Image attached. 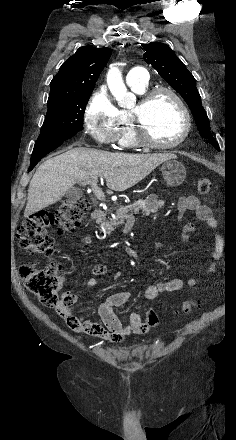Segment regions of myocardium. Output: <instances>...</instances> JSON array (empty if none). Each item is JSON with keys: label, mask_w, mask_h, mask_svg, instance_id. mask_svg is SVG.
Here are the masks:
<instances>
[{"label": "myocardium", "mask_w": 236, "mask_h": 440, "mask_svg": "<svg viewBox=\"0 0 236 440\" xmlns=\"http://www.w3.org/2000/svg\"><path fill=\"white\" fill-rule=\"evenodd\" d=\"M163 94L169 95L176 101L184 118V130L181 136L175 141L165 144L157 143L150 138L144 118L145 111L148 109L154 99ZM130 119L137 143L146 148L157 150L172 149L181 145L189 136L192 125L190 111L182 97L173 89L164 86L156 87L144 92L141 95L136 107L131 111Z\"/></svg>", "instance_id": "myocardium-1"}]
</instances>
